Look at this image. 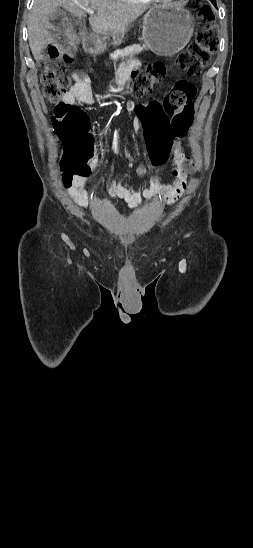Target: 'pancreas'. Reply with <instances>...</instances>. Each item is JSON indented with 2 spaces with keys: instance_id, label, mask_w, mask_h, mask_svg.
<instances>
[{
  "instance_id": "pancreas-1",
  "label": "pancreas",
  "mask_w": 253,
  "mask_h": 548,
  "mask_svg": "<svg viewBox=\"0 0 253 548\" xmlns=\"http://www.w3.org/2000/svg\"><path fill=\"white\" fill-rule=\"evenodd\" d=\"M144 49H146L145 46H141V45H132V46H127L125 47L124 49H118V50H115L111 55H110V58L113 60V61H117L119 58H126L128 57L129 59H133V57L139 53H141Z\"/></svg>"
}]
</instances>
